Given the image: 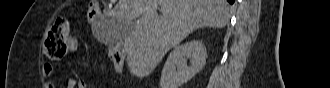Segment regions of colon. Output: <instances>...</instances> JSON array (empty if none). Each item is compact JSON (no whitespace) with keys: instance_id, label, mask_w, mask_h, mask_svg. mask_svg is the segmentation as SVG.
<instances>
[{"instance_id":"1","label":"colon","mask_w":330,"mask_h":88,"mask_svg":"<svg viewBox=\"0 0 330 88\" xmlns=\"http://www.w3.org/2000/svg\"><path fill=\"white\" fill-rule=\"evenodd\" d=\"M99 13V3L97 1H92L86 9V18L88 22L92 24ZM71 38L72 36L68 20L66 18L57 19L46 38L45 43L47 56L52 59H59L63 57ZM99 43L103 44L100 41ZM118 50L119 52L117 54L110 56L113 66L116 70L120 69L123 66L122 53L119 48Z\"/></svg>"}]
</instances>
